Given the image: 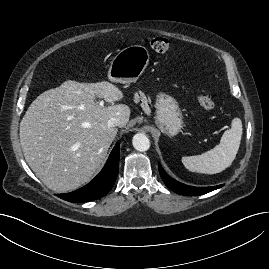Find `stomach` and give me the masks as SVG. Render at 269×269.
I'll use <instances>...</instances> for the list:
<instances>
[{
  "label": "stomach",
  "mask_w": 269,
  "mask_h": 269,
  "mask_svg": "<svg viewBox=\"0 0 269 269\" xmlns=\"http://www.w3.org/2000/svg\"><path fill=\"white\" fill-rule=\"evenodd\" d=\"M150 54L143 45H131L118 52L112 59L108 78L112 82L128 84L136 82L149 64ZM156 125L168 136L177 135L183 120L178 102L160 92L156 96Z\"/></svg>",
  "instance_id": "obj_1"
}]
</instances>
